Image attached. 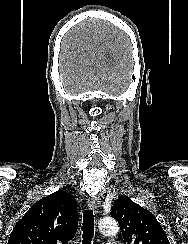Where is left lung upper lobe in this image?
<instances>
[{"label": "left lung upper lobe", "instance_id": "obj_1", "mask_svg": "<svg viewBox=\"0 0 188 244\" xmlns=\"http://www.w3.org/2000/svg\"><path fill=\"white\" fill-rule=\"evenodd\" d=\"M111 215L118 221L126 244H170L155 216L128 196L114 201Z\"/></svg>", "mask_w": 188, "mask_h": 244}]
</instances>
